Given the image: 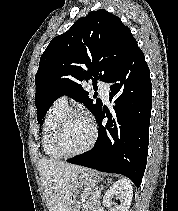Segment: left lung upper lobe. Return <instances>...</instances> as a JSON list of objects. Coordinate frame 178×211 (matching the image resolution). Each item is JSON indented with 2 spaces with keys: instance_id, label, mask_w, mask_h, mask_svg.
Segmentation results:
<instances>
[{
  "instance_id": "1",
  "label": "left lung upper lobe",
  "mask_w": 178,
  "mask_h": 211,
  "mask_svg": "<svg viewBox=\"0 0 178 211\" xmlns=\"http://www.w3.org/2000/svg\"><path fill=\"white\" fill-rule=\"evenodd\" d=\"M136 46L130 29L106 10L91 11L53 38L35 76L38 123L64 94L82 102L96 117L102 105L93 103L82 82L92 79L96 89L97 80L107 81Z\"/></svg>"
}]
</instances>
